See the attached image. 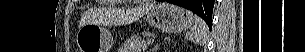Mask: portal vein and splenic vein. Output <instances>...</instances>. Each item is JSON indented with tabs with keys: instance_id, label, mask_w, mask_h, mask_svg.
Returning <instances> with one entry per match:
<instances>
[{
	"instance_id": "portal-vein-and-splenic-vein-1",
	"label": "portal vein and splenic vein",
	"mask_w": 305,
	"mask_h": 52,
	"mask_svg": "<svg viewBox=\"0 0 305 52\" xmlns=\"http://www.w3.org/2000/svg\"><path fill=\"white\" fill-rule=\"evenodd\" d=\"M153 42H154V40H153V39H149V40L147 41V45H152V44H153Z\"/></svg>"
}]
</instances>
